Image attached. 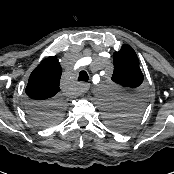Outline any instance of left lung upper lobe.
<instances>
[{
  "mask_svg": "<svg viewBox=\"0 0 174 174\" xmlns=\"http://www.w3.org/2000/svg\"><path fill=\"white\" fill-rule=\"evenodd\" d=\"M114 72L112 80L131 88H136L143 82V74L135 51L129 45H123L121 50L114 52ZM143 108L142 95L129 96L126 105L118 111H109L106 118L109 125L116 131L124 132L132 127Z\"/></svg>",
  "mask_w": 174,
  "mask_h": 174,
  "instance_id": "obj_1",
  "label": "left lung upper lobe"
}]
</instances>
